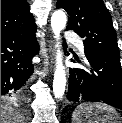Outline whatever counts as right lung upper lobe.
<instances>
[{"mask_svg": "<svg viewBox=\"0 0 122 123\" xmlns=\"http://www.w3.org/2000/svg\"><path fill=\"white\" fill-rule=\"evenodd\" d=\"M36 30L26 0H1V33H28Z\"/></svg>", "mask_w": 122, "mask_h": 123, "instance_id": "cb5924a9", "label": "right lung upper lobe"}]
</instances>
